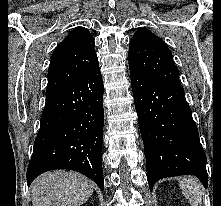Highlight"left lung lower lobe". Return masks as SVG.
I'll use <instances>...</instances> for the list:
<instances>
[{
	"instance_id": "obj_1",
	"label": "left lung lower lobe",
	"mask_w": 221,
	"mask_h": 206,
	"mask_svg": "<svg viewBox=\"0 0 221 206\" xmlns=\"http://www.w3.org/2000/svg\"><path fill=\"white\" fill-rule=\"evenodd\" d=\"M130 76L150 190L159 179L187 174L206 187V156L184 89Z\"/></svg>"
}]
</instances>
